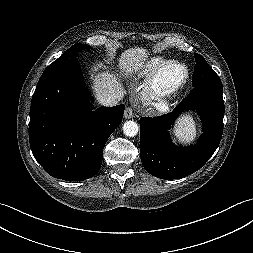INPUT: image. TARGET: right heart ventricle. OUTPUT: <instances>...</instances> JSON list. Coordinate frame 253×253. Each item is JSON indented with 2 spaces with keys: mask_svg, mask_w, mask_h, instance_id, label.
<instances>
[{
  "mask_svg": "<svg viewBox=\"0 0 253 253\" xmlns=\"http://www.w3.org/2000/svg\"><path fill=\"white\" fill-rule=\"evenodd\" d=\"M163 58L153 57L144 66L143 71L140 73V77L147 78L151 75L162 63H164Z\"/></svg>",
  "mask_w": 253,
  "mask_h": 253,
  "instance_id": "right-heart-ventricle-1",
  "label": "right heart ventricle"
}]
</instances>
